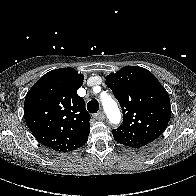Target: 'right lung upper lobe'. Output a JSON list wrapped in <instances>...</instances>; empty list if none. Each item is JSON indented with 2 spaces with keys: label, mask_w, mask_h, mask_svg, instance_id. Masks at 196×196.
Wrapping results in <instances>:
<instances>
[{
  "label": "right lung upper lobe",
  "mask_w": 196,
  "mask_h": 196,
  "mask_svg": "<svg viewBox=\"0 0 196 196\" xmlns=\"http://www.w3.org/2000/svg\"><path fill=\"white\" fill-rule=\"evenodd\" d=\"M83 75L73 68L52 70L29 90L24 118L36 140L59 152L83 146L90 133V115L77 94Z\"/></svg>",
  "instance_id": "cb5924a9"
}]
</instances>
